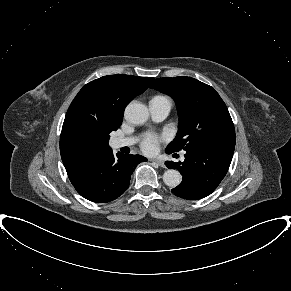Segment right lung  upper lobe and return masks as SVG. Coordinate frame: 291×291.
I'll return each instance as SVG.
<instances>
[{
	"mask_svg": "<svg viewBox=\"0 0 291 291\" xmlns=\"http://www.w3.org/2000/svg\"><path fill=\"white\" fill-rule=\"evenodd\" d=\"M152 80L109 75L89 82L79 91L68 108L60 136L61 158L71 183L112 152L109 131L120 127L127 104L143 93Z\"/></svg>",
	"mask_w": 291,
	"mask_h": 291,
	"instance_id": "cb5924a9",
	"label": "right lung upper lobe"
}]
</instances>
